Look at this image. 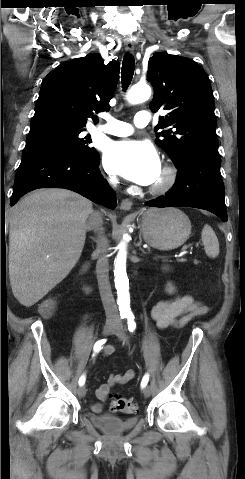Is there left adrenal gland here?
Masks as SVG:
<instances>
[{"instance_id":"1","label":"left adrenal gland","mask_w":245,"mask_h":479,"mask_svg":"<svg viewBox=\"0 0 245 479\" xmlns=\"http://www.w3.org/2000/svg\"><path fill=\"white\" fill-rule=\"evenodd\" d=\"M141 242H142V240H140V242H139V246L141 245ZM140 250H142V249H141V247H140ZM142 252H144V251L142 250Z\"/></svg>"}]
</instances>
